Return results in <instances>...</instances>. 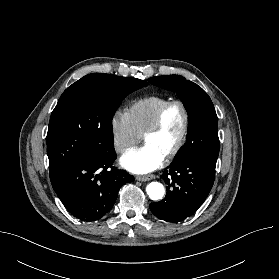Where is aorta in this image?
I'll use <instances>...</instances> for the list:
<instances>
[{
  "mask_svg": "<svg viewBox=\"0 0 279 279\" xmlns=\"http://www.w3.org/2000/svg\"><path fill=\"white\" fill-rule=\"evenodd\" d=\"M146 192L151 200H159L163 198L165 189L161 183L151 182L147 185Z\"/></svg>",
  "mask_w": 279,
  "mask_h": 279,
  "instance_id": "obj_1",
  "label": "aorta"
}]
</instances>
